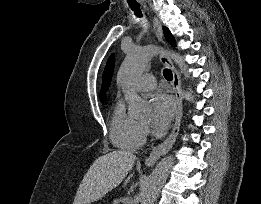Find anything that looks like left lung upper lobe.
Wrapping results in <instances>:
<instances>
[{
	"mask_svg": "<svg viewBox=\"0 0 261 204\" xmlns=\"http://www.w3.org/2000/svg\"><path fill=\"white\" fill-rule=\"evenodd\" d=\"M164 31V35L166 40L172 45V46H176V42L174 37L172 36V34L170 33V31L168 30V28L164 27L163 28Z\"/></svg>",
	"mask_w": 261,
	"mask_h": 204,
	"instance_id": "obj_1",
	"label": "left lung upper lobe"
}]
</instances>
